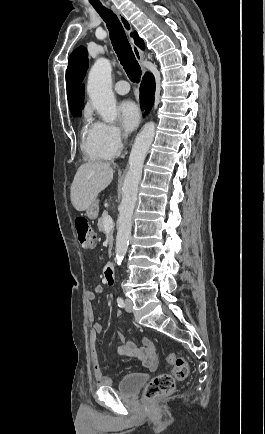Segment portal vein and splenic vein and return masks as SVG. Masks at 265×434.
<instances>
[{"mask_svg":"<svg viewBox=\"0 0 265 434\" xmlns=\"http://www.w3.org/2000/svg\"><path fill=\"white\" fill-rule=\"evenodd\" d=\"M104 228L105 230H111V228H113V220L111 216H106V218H104Z\"/></svg>","mask_w":265,"mask_h":434,"instance_id":"obj_1","label":"portal vein and splenic vein"}]
</instances>
